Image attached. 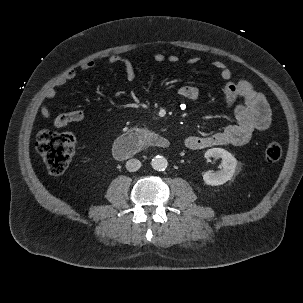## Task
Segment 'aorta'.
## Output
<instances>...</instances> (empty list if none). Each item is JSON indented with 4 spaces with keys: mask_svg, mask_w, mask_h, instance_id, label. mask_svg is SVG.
<instances>
[{
    "mask_svg": "<svg viewBox=\"0 0 303 303\" xmlns=\"http://www.w3.org/2000/svg\"><path fill=\"white\" fill-rule=\"evenodd\" d=\"M167 159L163 156H156L151 161V166L156 171H163L167 168Z\"/></svg>",
    "mask_w": 303,
    "mask_h": 303,
    "instance_id": "762f6f07",
    "label": "aorta"
}]
</instances>
